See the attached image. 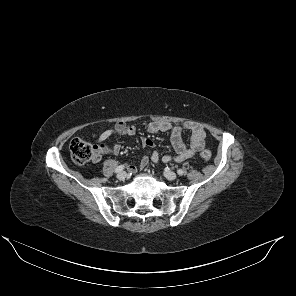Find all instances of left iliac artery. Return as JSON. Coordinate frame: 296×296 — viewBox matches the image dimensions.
<instances>
[{"label":"left iliac artery","mask_w":296,"mask_h":296,"mask_svg":"<svg viewBox=\"0 0 296 296\" xmlns=\"http://www.w3.org/2000/svg\"><path fill=\"white\" fill-rule=\"evenodd\" d=\"M177 173H178V175H183L185 172H184V170H182V169H178V170H177Z\"/></svg>","instance_id":"44dca946"}]
</instances>
